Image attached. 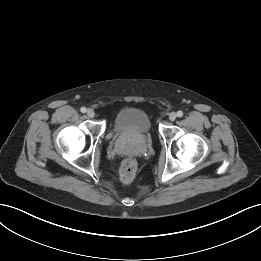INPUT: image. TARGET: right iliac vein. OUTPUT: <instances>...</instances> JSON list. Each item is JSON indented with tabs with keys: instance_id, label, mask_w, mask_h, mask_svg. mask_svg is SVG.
Listing matches in <instances>:
<instances>
[{
	"instance_id": "obj_1",
	"label": "right iliac vein",
	"mask_w": 261,
	"mask_h": 261,
	"mask_svg": "<svg viewBox=\"0 0 261 261\" xmlns=\"http://www.w3.org/2000/svg\"><path fill=\"white\" fill-rule=\"evenodd\" d=\"M87 115L88 117L93 118L95 116V112L92 109H88Z\"/></svg>"
}]
</instances>
